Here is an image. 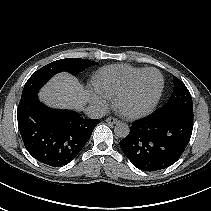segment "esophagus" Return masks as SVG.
<instances>
[{
	"instance_id": "esophagus-1",
	"label": "esophagus",
	"mask_w": 211,
	"mask_h": 211,
	"mask_svg": "<svg viewBox=\"0 0 211 211\" xmlns=\"http://www.w3.org/2000/svg\"><path fill=\"white\" fill-rule=\"evenodd\" d=\"M106 122H107L108 124H117V123H119V120L116 119V118H113V117H108V118L106 119Z\"/></svg>"
}]
</instances>
